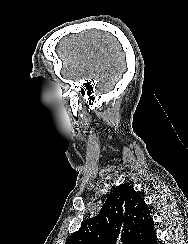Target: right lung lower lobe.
I'll return each instance as SVG.
<instances>
[{
	"label": "right lung lower lobe",
	"mask_w": 188,
	"mask_h": 244,
	"mask_svg": "<svg viewBox=\"0 0 188 244\" xmlns=\"http://www.w3.org/2000/svg\"><path fill=\"white\" fill-rule=\"evenodd\" d=\"M141 244H157L154 226L149 230L147 236Z\"/></svg>",
	"instance_id": "right-lung-lower-lobe-1"
}]
</instances>
